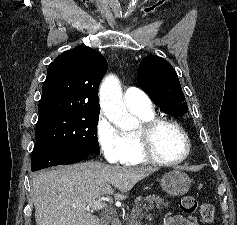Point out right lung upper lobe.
Returning a JSON list of instances; mask_svg holds the SVG:
<instances>
[{
	"label": "right lung upper lobe",
	"mask_w": 237,
	"mask_h": 225,
	"mask_svg": "<svg viewBox=\"0 0 237 225\" xmlns=\"http://www.w3.org/2000/svg\"><path fill=\"white\" fill-rule=\"evenodd\" d=\"M107 61L96 50L78 46L48 66L38 120L66 114L99 113L98 86Z\"/></svg>",
	"instance_id": "right-lung-upper-lobe-1"
}]
</instances>
